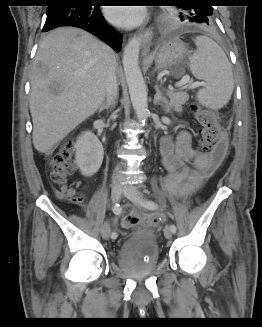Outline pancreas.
Returning <instances> with one entry per match:
<instances>
[{"label":"pancreas","mask_w":262,"mask_h":327,"mask_svg":"<svg viewBox=\"0 0 262 327\" xmlns=\"http://www.w3.org/2000/svg\"><path fill=\"white\" fill-rule=\"evenodd\" d=\"M167 95L170 99L169 106L176 112H181L182 105L189 99L188 94L185 92L168 91Z\"/></svg>","instance_id":"obj_1"}]
</instances>
